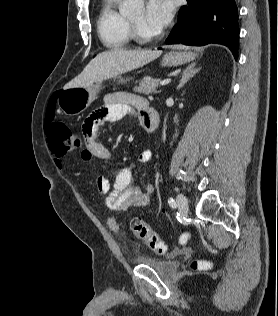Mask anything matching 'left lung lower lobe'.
I'll return each mask as SVG.
<instances>
[{
    "mask_svg": "<svg viewBox=\"0 0 278 316\" xmlns=\"http://www.w3.org/2000/svg\"><path fill=\"white\" fill-rule=\"evenodd\" d=\"M166 44L227 46L237 58L239 29L235 0H187Z\"/></svg>",
    "mask_w": 278,
    "mask_h": 316,
    "instance_id": "obj_1",
    "label": "left lung lower lobe"
}]
</instances>
